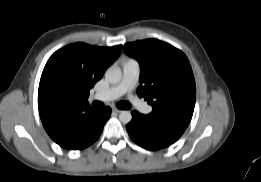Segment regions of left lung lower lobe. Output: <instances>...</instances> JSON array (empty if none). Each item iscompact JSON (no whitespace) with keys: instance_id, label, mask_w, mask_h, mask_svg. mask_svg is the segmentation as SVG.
Instances as JSON below:
<instances>
[{"instance_id":"left-lung-lower-lobe-1","label":"left lung lower lobe","mask_w":261,"mask_h":182,"mask_svg":"<svg viewBox=\"0 0 261 182\" xmlns=\"http://www.w3.org/2000/svg\"><path fill=\"white\" fill-rule=\"evenodd\" d=\"M131 139L148 150L165 148L176 142L185 127L154 121L147 115L132 111V121L126 126Z\"/></svg>"}]
</instances>
